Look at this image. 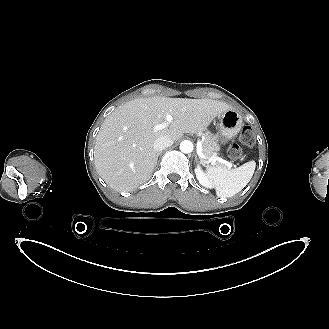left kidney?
<instances>
[{
  "instance_id": "left-kidney-1",
  "label": "left kidney",
  "mask_w": 329,
  "mask_h": 329,
  "mask_svg": "<svg viewBox=\"0 0 329 329\" xmlns=\"http://www.w3.org/2000/svg\"><path fill=\"white\" fill-rule=\"evenodd\" d=\"M194 172L196 174V178L198 179L199 183L202 186L206 188H212V183L208 180L206 174L204 173L203 169L200 166H197Z\"/></svg>"
}]
</instances>
